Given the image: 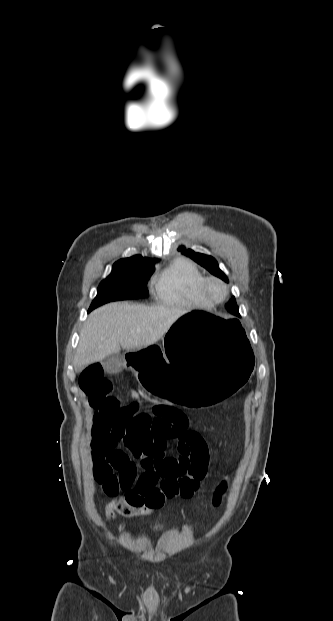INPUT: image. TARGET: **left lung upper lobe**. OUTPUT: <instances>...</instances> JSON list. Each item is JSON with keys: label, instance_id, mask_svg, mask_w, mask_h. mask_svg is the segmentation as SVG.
Segmentation results:
<instances>
[{"label": "left lung upper lobe", "instance_id": "obj_1", "mask_svg": "<svg viewBox=\"0 0 333 621\" xmlns=\"http://www.w3.org/2000/svg\"><path fill=\"white\" fill-rule=\"evenodd\" d=\"M178 251H181L182 254L190 257L192 260H194L196 263H198L199 265H201L202 267H204L205 269H207L211 274H213L214 276L219 277L220 279H222L225 282H228V278L226 277V275L219 269L218 267V263L217 261L209 255H205V254H201V253H196L195 251L191 250V249H186L185 246H180L178 248ZM226 309L233 315L235 316H240L239 315V307L236 304V300L234 297H232L228 304L226 305Z\"/></svg>", "mask_w": 333, "mask_h": 621}]
</instances>
